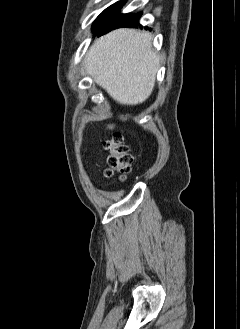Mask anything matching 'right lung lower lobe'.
<instances>
[{"mask_svg": "<svg viewBox=\"0 0 240 329\" xmlns=\"http://www.w3.org/2000/svg\"><path fill=\"white\" fill-rule=\"evenodd\" d=\"M122 5H117L105 18L95 35L101 36L107 32L120 27H137L142 13L137 14H121ZM141 26V25H140ZM147 29V28H146Z\"/></svg>", "mask_w": 240, "mask_h": 329, "instance_id": "right-lung-lower-lobe-1", "label": "right lung lower lobe"}]
</instances>
